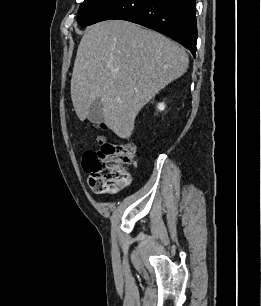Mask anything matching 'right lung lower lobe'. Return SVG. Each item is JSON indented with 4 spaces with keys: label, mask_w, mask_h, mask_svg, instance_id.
Wrapping results in <instances>:
<instances>
[{
    "label": "right lung lower lobe",
    "mask_w": 261,
    "mask_h": 306,
    "mask_svg": "<svg viewBox=\"0 0 261 306\" xmlns=\"http://www.w3.org/2000/svg\"><path fill=\"white\" fill-rule=\"evenodd\" d=\"M196 0H114L89 25L126 20L148 27L179 42L196 54Z\"/></svg>",
    "instance_id": "right-lung-lower-lobe-1"
}]
</instances>
